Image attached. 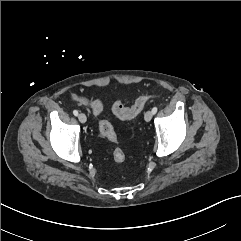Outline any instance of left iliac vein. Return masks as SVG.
Returning a JSON list of instances; mask_svg holds the SVG:
<instances>
[{
    "label": "left iliac vein",
    "instance_id": "1",
    "mask_svg": "<svg viewBox=\"0 0 241 241\" xmlns=\"http://www.w3.org/2000/svg\"><path fill=\"white\" fill-rule=\"evenodd\" d=\"M152 117H153V113H152V111H147L146 113H145V115H144V119H145V121H147V122H149L151 119H152Z\"/></svg>",
    "mask_w": 241,
    "mask_h": 241
}]
</instances>
